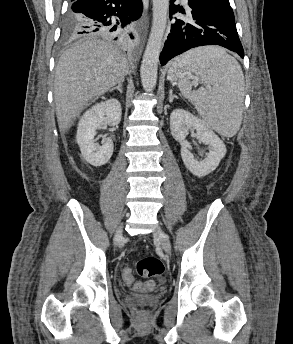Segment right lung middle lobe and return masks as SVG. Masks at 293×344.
<instances>
[{
	"label": "right lung middle lobe",
	"mask_w": 293,
	"mask_h": 344,
	"mask_svg": "<svg viewBox=\"0 0 293 344\" xmlns=\"http://www.w3.org/2000/svg\"><path fill=\"white\" fill-rule=\"evenodd\" d=\"M85 22L86 19L82 15L69 11L63 28V40H70L81 35L80 29Z\"/></svg>",
	"instance_id": "dd1d6c3e"
}]
</instances>
